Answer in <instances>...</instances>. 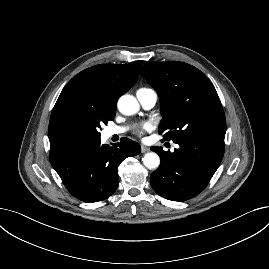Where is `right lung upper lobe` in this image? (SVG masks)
Wrapping results in <instances>:
<instances>
[{"label": "right lung upper lobe", "instance_id": "cb5924a9", "mask_svg": "<svg viewBox=\"0 0 269 269\" xmlns=\"http://www.w3.org/2000/svg\"><path fill=\"white\" fill-rule=\"evenodd\" d=\"M143 63L96 65L74 76L63 88L51 113L50 152L85 141L80 127L82 114L115 113L119 96L136 83Z\"/></svg>", "mask_w": 269, "mask_h": 269}]
</instances>
